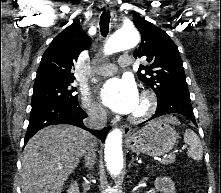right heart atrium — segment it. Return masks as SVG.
<instances>
[{
    "label": "right heart atrium",
    "mask_w": 221,
    "mask_h": 193,
    "mask_svg": "<svg viewBox=\"0 0 221 193\" xmlns=\"http://www.w3.org/2000/svg\"><path fill=\"white\" fill-rule=\"evenodd\" d=\"M80 104L90 118L95 120H103L105 118V109L100 104L91 100L88 96H81Z\"/></svg>",
    "instance_id": "d8ad5b80"
}]
</instances>
